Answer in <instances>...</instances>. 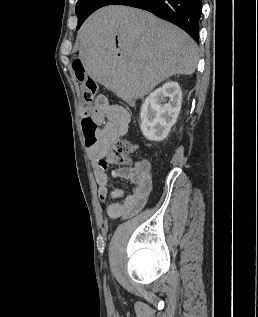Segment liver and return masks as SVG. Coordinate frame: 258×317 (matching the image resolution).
I'll list each match as a JSON object with an SVG mask.
<instances>
[{
  "label": "liver",
  "mask_w": 258,
  "mask_h": 317,
  "mask_svg": "<svg viewBox=\"0 0 258 317\" xmlns=\"http://www.w3.org/2000/svg\"><path fill=\"white\" fill-rule=\"evenodd\" d=\"M78 38L87 74L123 100L142 98L173 74H193L199 60L198 46L187 32L132 6L95 10Z\"/></svg>",
  "instance_id": "liver-1"
}]
</instances>
